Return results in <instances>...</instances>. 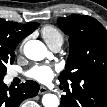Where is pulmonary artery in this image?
<instances>
[{
  "instance_id": "obj_1",
  "label": "pulmonary artery",
  "mask_w": 107,
  "mask_h": 107,
  "mask_svg": "<svg viewBox=\"0 0 107 107\" xmlns=\"http://www.w3.org/2000/svg\"><path fill=\"white\" fill-rule=\"evenodd\" d=\"M61 45H62V44L57 43V44L51 46V49H52L53 51L57 52V51L60 50ZM16 76H17V74H16L15 72H12V73H9V74H8L7 78H8V80H12V79H13L14 77H16Z\"/></svg>"
}]
</instances>
